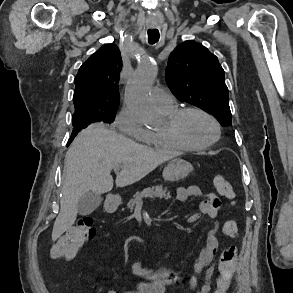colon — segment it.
<instances>
[{
    "instance_id": "obj_1",
    "label": "colon",
    "mask_w": 293,
    "mask_h": 293,
    "mask_svg": "<svg viewBox=\"0 0 293 293\" xmlns=\"http://www.w3.org/2000/svg\"><path fill=\"white\" fill-rule=\"evenodd\" d=\"M213 184L216 190L228 200L234 202L236 192L232 184L223 176L213 177ZM223 233L229 238H236L238 235V224L235 220H228L223 225ZM96 235V227L93 218L85 216L80 218L63 236L53 245L51 256L55 259H71L77 249L88 239ZM237 249L235 246H228L221 254L218 263V276L216 288L213 293H227L231 280L236 269Z\"/></svg>"
}]
</instances>
